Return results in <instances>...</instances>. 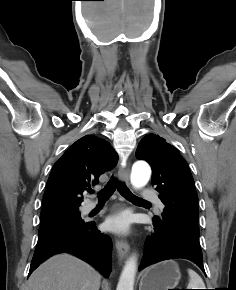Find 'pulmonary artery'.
I'll return each mask as SVG.
<instances>
[{"mask_svg":"<svg viewBox=\"0 0 236 290\" xmlns=\"http://www.w3.org/2000/svg\"><path fill=\"white\" fill-rule=\"evenodd\" d=\"M141 198L143 200H151V201H155L158 205L159 208H163V204L161 203V201L158 200L157 198V194L155 191L153 190H144L141 192ZM96 203L93 201H88L87 203L84 204L83 206V211L84 212H90L91 210H93L96 207Z\"/></svg>","mask_w":236,"mask_h":290,"instance_id":"obj_1","label":"pulmonary artery"}]
</instances>
